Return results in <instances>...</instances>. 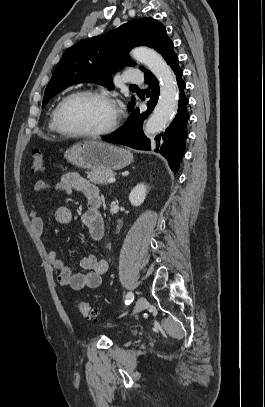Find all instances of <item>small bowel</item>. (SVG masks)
Returning a JSON list of instances; mask_svg holds the SVG:
<instances>
[{
    "mask_svg": "<svg viewBox=\"0 0 265 407\" xmlns=\"http://www.w3.org/2000/svg\"><path fill=\"white\" fill-rule=\"evenodd\" d=\"M48 188H50V185L43 180L37 181L34 185V191L37 194H40ZM54 188L55 190L63 191L65 193L77 191L85 195L88 207L82 215V223L87 228L91 239L96 241L101 240L105 231L104 222L100 212L91 206V201L93 199L100 198L96 185L90 183L78 173L68 172L61 176L59 182L55 184ZM29 216L33 232L38 237H42L44 233V224L42 218L38 215L35 206H32ZM56 219L61 224H70L73 221V213L70 208L60 206L56 210ZM48 257L53 267L58 271V283L62 287L71 288L73 290L96 288L100 286L102 276L108 270V262L93 254L87 255L80 260V266L85 269V272L79 273H73L71 267L61 259L57 250H49Z\"/></svg>",
    "mask_w": 265,
    "mask_h": 407,
    "instance_id": "small-bowel-1",
    "label": "small bowel"
}]
</instances>
